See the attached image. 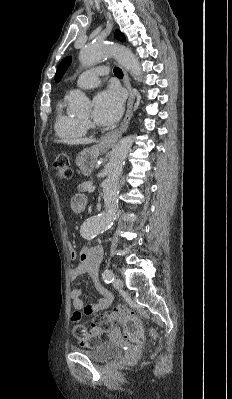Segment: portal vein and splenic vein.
I'll return each instance as SVG.
<instances>
[{"label":"portal vein and splenic vein","mask_w":232,"mask_h":399,"mask_svg":"<svg viewBox=\"0 0 232 399\" xmlns=\"http://www.w3.org/2000/svg\"><path fill=\"white\" fill-rule=\"evenodd\" d=\"M94 190H95V186H89V188H88L89 194H91V192H94Z\"/></svg>","instance_id":"1"}]
</instances>
